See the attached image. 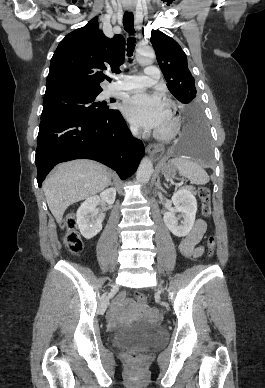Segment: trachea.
<instances>
[{
    "mask_svg": "<svg viewBox=\"0 0 265 388\" xmlns=\"http://www.w3.org/2000/svg\"><path fill=\"white\" fill-rule=\"evenodd\" d=\"M123 25L124 29L129 32V34H132L134 32V16L132 12L126 11L123 16ZM134 43L135 39L134 38H129L128 39V55L131 56L133 49H134Z\"/></svg>",
    "mask_w": 265,
    "mask_h": 388,
    "instance_id": "obj_1",
    "label": "trachea"
}]
</instances>
